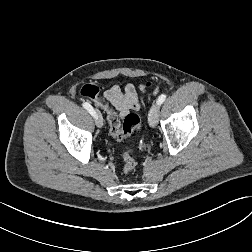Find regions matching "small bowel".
<instances>
[{
    "label": "small bowel",
    "instance_id": "c3829d8e",
    "mask_svg": "<svg viewBox=\"0 0 252 252\" xmlns=\"http://www.w3.org/2000/svg\"><path fill=\"white\" fill-rule=\"evenodd\" d=\"M143 87L137 88L133 84H127L124 88L112 85L102 94L103 100L116 109L120 118L124 119L131 111L141 108L140 93Z\"/></svg>",
    "mask_w": 252,
    "mask_h": 252
}]
</instances>
